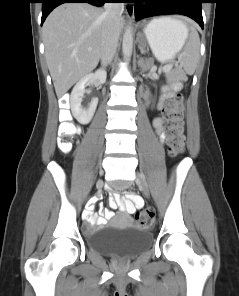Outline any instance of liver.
<instances>
[{"mask_svg":"<svg viewBox=\"0 0 239 296\" xmlns=\"http://www.w3.org/2000/svg\"><path fill=\"white\" fill-rule=\"evenodd\" d=\"M103 13L102 8L88 3H65L55 8L44 22L45 58L57 97H62L98 65ZM118 27L121 32L123 18Z\"/></svg>","mask_w":239,"mask_h":296,"instance_id":"1","label":"liver"}]
</instances>
